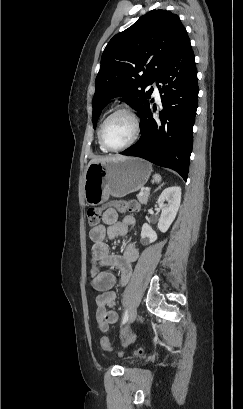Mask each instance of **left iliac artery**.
I'll return each mask as SVG.
<instances>
[{
	"mask_svg": "<svg viewBox=\"0 0 243 409\" xmlns=\"http://www.w3.org/2000/svg\"><path fill=\"white\" fill-rule=\"evenodd\" d=\"M128 318H129L128 310H125L122 318V325H124L128 321Z\"/></svg>",
	"mask_w": 243,
	"mask_h": 409,
	"instance_id": "44dca946",
	"label": "left iliac artery"
}]
</instances>
